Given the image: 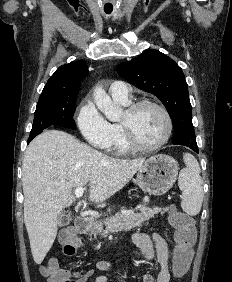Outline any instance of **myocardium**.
I'll use <instances>...</instances> for the list:
<instances>
[{
  "mask_svg": "<svg viewBox=\"0 0 232 282\" xmlns=\"http://www.w3.org/2000/svg\"><path fill=\"white\" fill-rule=\"evenodd\" d=\"M144 106L154 107L158 109L164 116L166 122V132L164 137L159 142L153 145H143L139 143L135 138L132 127L128 121H122L120 125L123 131L125 141L131 148V150L140 152H150L160 149L170 140L173 132V120L169 111L162 104L148 99L139 100L130 104L126 109V113L131 116Z\"/></svg>",
  "mask_w": 232,
  "mask_h": 282,
  "instance_id": "myocardium-1",
  "label": "myocardium"
}]
</instances>
